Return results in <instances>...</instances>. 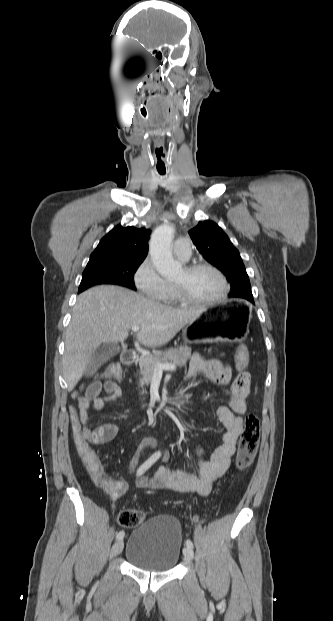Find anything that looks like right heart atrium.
Returning <instances> with one entry per match:
<instances>
[{"mask_svg": "<svg viewBox=\"0 0 333 621\" xmlns=\"http://www.w3.org/2000/svg\"><path fill=\"white\" fill-rule=\"evenodd\" d=\"M137 289L152 300L163 299L168 283L159 275L150 259H145L134 275Z\"/></svg>", "mask_w": 333, "mask_h": 621, "instance_id": "d8ad5b80", "label": "right heart atrium"}]
</instances>
